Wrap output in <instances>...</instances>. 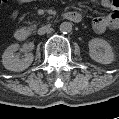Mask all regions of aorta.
<instances>
[{"instance_id": "1", "label": "aorta", "mask_w": 119, "mask_h": 119, "mask_svg": "<svg viewBox=\"0 0 119 119\" xmlns=\"http://www.w3.org/2000/svg\"><path fill=\"white\" fill-rule=\"evenodd\" d=\"M59 30L62 33H70L72 31V24L70 22H62L59 26Z\"/></svg>"}]
</instances>
